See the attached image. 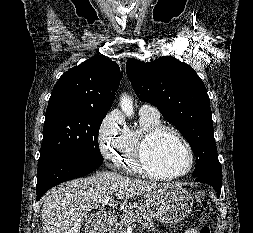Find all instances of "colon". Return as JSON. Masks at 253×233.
Returning <instances> with one entry per match:
<instances>
[{
  "label": "colon",
  "instance_id": "5ec220e1",
  "mask_svg": "<svg viewBox=\"0 0 253 233\" xmlns=\"http://www.w3.org/2000/svg\"><path fill=\"white\" fill-rule=\"evenodd\" d=\"M196 199L199 202H202L204 200V194H202V193L196 194ZM198 233H211V229L204 218L201 221V226L199 228Z\"/></svg>",
  "mask_w": 253,
  "mask_h": 233
}]
</instances>
